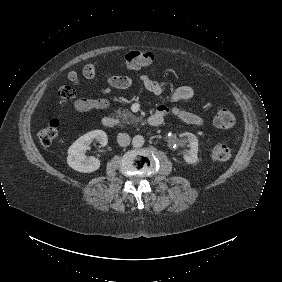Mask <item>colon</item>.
<instances>
[{
    "mask_svg": "<svg viewBox=\"0 0 282 282\" xmlns=\"http://www.w3.org/2000/svg\"><path fill=\"white\" fill-rule=\"evenodd\" d=\"M154 61V56L149 51L132 50L125 56L126 65L132 70H140ZM62 99H70L73 96L71 88L62 87L59 92ZM236 125V117L234 113L226 108L220 109L215 116V126L219 130L231 129ZM60 127L58 119H51L46 122L39 130L37 136L39 141L44 145H50L57 137ZM214 162H223L230 157V149L225 143H217L211 152Z\"/></svg>",
    "mask_w": 282,
    "mask_h": 282,
    "instance_id": "obj_1",
    "label": "colon"
}]
</instances>
